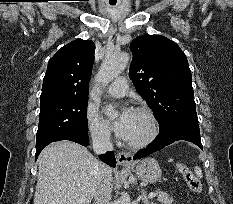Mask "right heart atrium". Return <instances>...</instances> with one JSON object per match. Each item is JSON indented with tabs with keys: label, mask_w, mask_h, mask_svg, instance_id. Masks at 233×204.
I'll return each instance as SVG.
<instances>
[{
	"label": "right heart atrium",
	"mask_w": 233,
	"mask_h": 204,
	"mask_svg": "<svg viewBox=\"0 0 233 204\" xmlns=\"http://www.w3.org/2000/svg\"><path fill=\"white\" fill-rule=\"evenodd\" d=\"M86 121L88 133L94 143L98 145H107L110 143V130L93 108L87 109Z\"/></svg>",
	"instance_id": "right-heart-atrium-1"
}]
</instances>
